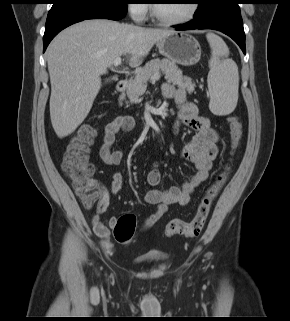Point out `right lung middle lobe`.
Segmentation results:
<instances>
[{"instance_id": "right-lung-middle-lobe-1", "label": "right lung middle lobe", "mask_w": 290, "mask_h": 321, "mask_svg": "<svg viewBox=\"0 0 290 321\" xmlns=\"http://www.w3.org/2000/svg\"><path fill=\"white\" fill-rule=\"evenodd\" d=\"M51 9L74 7L87 10L127 8L128 0H52Z\"/></svg>"}]
</instances>
